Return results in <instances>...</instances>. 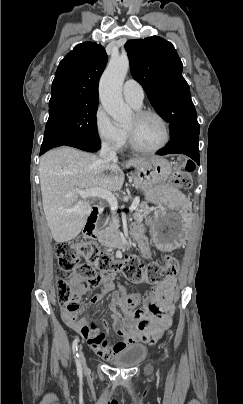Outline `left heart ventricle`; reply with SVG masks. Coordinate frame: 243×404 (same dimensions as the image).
<instances>
[{"label": "left heart ventricle", "mask_w": 243, "mask_h": 404, "mask_svg": "<svg viewBox=\"0 0 243 404\" xmlns=\"http://www.w3.org/2000/svg\"><path fill=\"white\" fill-rule=\"evenodd\" d=\"M125 129L144 147H156L166 136L162 121L154 115L137 117L133 114L125 124Z\"/></svg>", "instance_id": "b2bd125f"}]
</instances>
